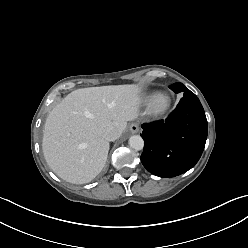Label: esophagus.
Here are the masks:
<instances>
[{"label": "esophagus", "mask_w": 248, "mask_h": 248, "mask_svg": "<svg viewBox=\"0 0 248 248\" xmlns=\"http://www.w3.org/2000/svg\"><path fill=\"white\" fill-rule=\"evenodd\" d=\"M129 130H130V132L133 133V134L138 133V131H139V126H138V124H137V123H131V124L129 125Z\"/></svg>", "instance_id": "obj_1"}]
</instances>
